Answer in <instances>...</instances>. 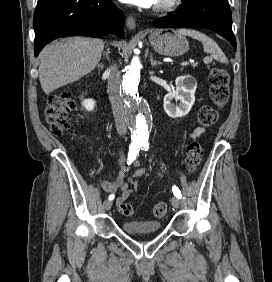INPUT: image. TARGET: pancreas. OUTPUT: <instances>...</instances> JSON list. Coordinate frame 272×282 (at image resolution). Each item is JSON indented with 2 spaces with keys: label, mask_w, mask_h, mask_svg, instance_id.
<instances>
[{
  "label": "pancreas",
  "mask_w": 272,
  "mask_h": 282,
  "mask_svg": "<svg viewBox=\"0 0 272 282\" xmlns=\"http://www.w3.org/2000/svg\"><path fill=\"white\" fill-rule=\"evenodd\" d=\"M197 66V63L193 64V67H196Z\"/></svg>",
  "instance_id": "obj_1"
}]
</instances>
